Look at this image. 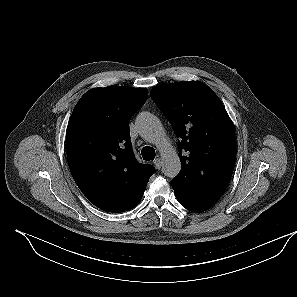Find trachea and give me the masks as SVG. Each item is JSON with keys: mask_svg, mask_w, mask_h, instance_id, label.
I'll use <instances>...</instances> for the list:
<instances>
[{"mask_svg": "<svg viewBox=\"0 0 297 297\" xmlns=\"http://www.w3.org/2000/svg\"><path fill=\"white\" fill-rule=\"evenodd\" d=\"M141 154H142L143 159L147 160V161L153 160L156 155L154 148H152L150 146L143 147L141 150Z\"/></svg>", "mask_w": 297, "mask_h": 297, "instance_id": "3493384b", "label": "trachea"}]
</instances>
